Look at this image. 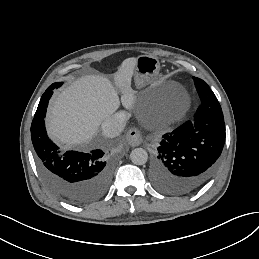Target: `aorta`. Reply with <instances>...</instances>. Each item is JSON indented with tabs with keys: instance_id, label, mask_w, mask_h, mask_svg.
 Masks as SVG:
<instances>
[{
	"instance_id": "762f6f07",
	"label": "aorta",
	"mask_w": 259,
	"mask_h": 259,
	"mask_svg": "<svg viewBox=\"0 0 259 259\" xmlns=\"http://www.w3.org/2000/svg\"><path fill=\"white\" fill-rule=\"evenodd\" d=\"M130 159L135 165H143L147 162L148 154L143 148H135L131 151Z\"/></svg>"
}]
</instances>
